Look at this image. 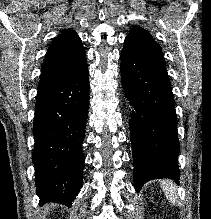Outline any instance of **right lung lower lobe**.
<instances>
[{
	"mask_svg": "<svg viewBox=\"0 0 211 219\" xmlns=\"http://www.w3.org/2000/svg\"><path fill=\"white\" fill-rule=\"evenodd\" d=\"M37 93L32 154L36 193L41 205L57 202L70 207L83 180L81 145L89 106L86 59Z\"/></svg>",
	"mask_w": 211,
	"mask_h": 219,
	"instance_id": "98d812e1",
	"label": "right lung lower lobe"
}]
</instances>
